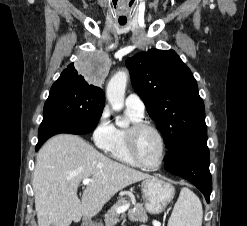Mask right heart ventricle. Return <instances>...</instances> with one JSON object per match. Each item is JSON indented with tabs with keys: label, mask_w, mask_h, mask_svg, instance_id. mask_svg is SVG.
I'll list each match as a JSON object with an SVG mask.
<instances>
[{
	"label": "right heart ventricle",
	"mask_w": 247,
	"mask_h": 226,
	"mask_svg": "<svg viewBox=\"0 0 247 226\" xmlns=\"http://www.w3.org/2000/svg\"><path fill=\"white\" fill-rule=\"evenodd\" d=\"M126 115L131 123L142 121L143 117V115H139L130 109H126ZM126 130L123 127H114L112 141L104 151L117 161L136 166L137 164L131 159L127 150Z\"/></svg>",
	"instance_id": "obj_1"
}]
</instances>
